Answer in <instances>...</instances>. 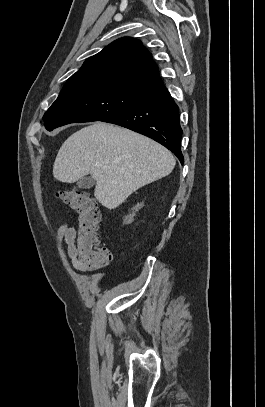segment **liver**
Here are the masks:
<instances>
[{
  "mask_svg": "<svg viewBox=\"0 0 265 407\" xmlns=\"http://www.w3.org/2000/svg\"><path fill=\"white\" fill-rule=\"evenodd\" d=\"M173 154L154 140L129 129L97 122L73 133L60 147L53 176L74 183L91 174L94 195L114 209L137 189L169 175Z\"/></svg>",
  "mask_w": 265,
  "mask_h": 407,
  "instance_id": "liver-1",
  "label": "liver"
}]
</instances>
